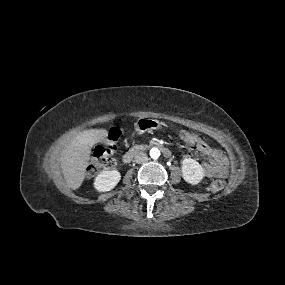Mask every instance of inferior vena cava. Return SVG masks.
<instances>
[{
  "instance_id": "obj_1",
  "label": "inferior vena cava",
  "mask_w": 285,
  "mask_h": 285,
  "mask_svg": "<svg viewBox=\"0 0 285 285\" xmlns=\"http://www.w3.org/2000/svg\"><path fill=\"white\" fill-rule=\"evenodd\" d=\"M147 155L145 153H138L135 157H134V161L136 163H144L147 161Z\"/></svg>"
}]
</instances>
